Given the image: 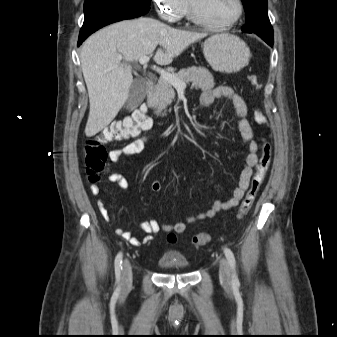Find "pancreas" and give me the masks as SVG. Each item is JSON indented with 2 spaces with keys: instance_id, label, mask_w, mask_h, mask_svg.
<instances>
[{
  "instance_id": "obj_1",
  "label": "pancreas",
  "mask_w": 337,
  "mask_h": 337,
  "mask_svg": "<svg viewBox=\"0 0 337 337\" xmlns=\"http://www.w3.org/2000/svg\"><path fill=\"white\" fill-rule=\"evenodd\" d=\"M173 75L184 83L191 82L194 89L207 90L215 85L212 74L204 67L193 66L182 69L178 73H173ZM174 97L173 85L160 77L149 97L148 103L155 110L157 116H165V110L172 103Z\"/></svg>"
}]
</instances>
